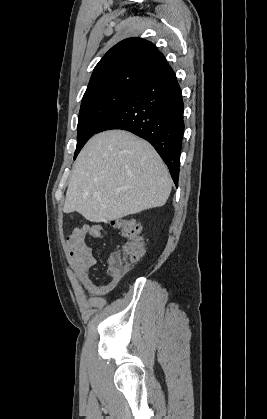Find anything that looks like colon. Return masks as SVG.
<instances>
[{"instance_id": "1", "label": "colon", "mask_w": 267, "mask_h": 419, "mask_svg": "<svg viewBox=\"0 0 267 419\" xmlns=\"http://www.w3.org/2000/svg\"><path fill=\"white\" fill-rule=\"evenodd\" d=\"M111 225L121 231L126 243L113 250L108 259V273L121 277L126 274L144 255L145 248L141 236L140 225L130 218H119Z\"/></svg>"}]
</instances>
